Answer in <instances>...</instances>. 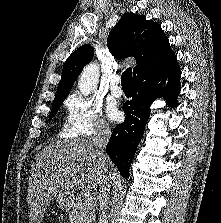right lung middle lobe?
Listing matches in <instances>:
<instances>
[{
    "label": "right lung middle lobe",
    "mask_w": 221,
    "mask_h": 223,
    "mask_svg": "<svg viewBox=\"0 0 221 223\" xmlns=\"http://www.w3.org/2000/svg\"><path fill=\"white\" fill-rule=\"evenodd\" d=\"M64 99L65 98H63V99H57V100H54L53 101V105H52V109H51V113H50V119L55 116V114L59 110V107L62 105Z\"/></svg>",
    "instance_id": "1"
}]
</instances>
